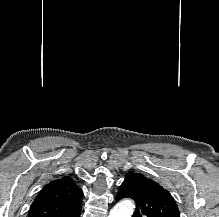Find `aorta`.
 Returning <instances> with one entry per match:
<instances>
[{
    "mask_svg": "<svg viewBox=\"0 0 219 217\" xmlns=\"http://www.w3.org/2000/svg\"><path fill=\"white\" fill-rule=\"evenodd\" d=\"M134 207L130 200H123L113 207L108 217H131Z\"/></svg>",
    "mask_w": 219,
    "mask_h": 217,
    "instance_id": "obj_1",
    "label": "aorta"
}]
</instances>
